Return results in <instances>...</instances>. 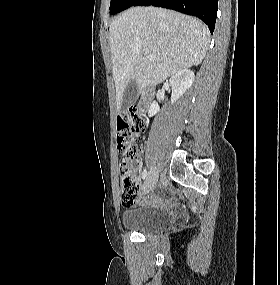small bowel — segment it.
<instances>
[{
  "instance_id": "obj_1",
  "label": "small bowel",
  "mask_w": 280,
  "mask_h": 285,
  "mask_svg": "<svg viewBox=\"0 0 280 285\" xmlns=\"http://www.w3.org/2000/svg\"><path fill=\"white\" fill-rule=\"evenodd\" d=\"M138 165H139V162H138ZM163 188H160L159 189V193L156 194V193H152L148 196V199L149 201L152 203V204H161L163 201L161 199V196L160 194L163 193Z\"/></svg>"
}]
</instances>
